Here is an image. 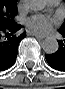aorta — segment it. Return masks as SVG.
<instances>
[{
  "label": "aorta",
  "instance_id": "aorta-1",
  "mask_svg": "<svg viewBox=\"0 0 65 89\" xmlns=\"http://www.w3.org/2000/svg\"><path fill=\"white\" fill-rule=\"evenodd\" d=\"M47 6L46 0H30L29 8L32 11L40 12L43 11ZM42 48L47 54H53L57 52L59 45L55 38L49 37L43 40Z\"/></svg>",
  "mask_w": 65,
  "mask_h": 89
}]
</instances>
